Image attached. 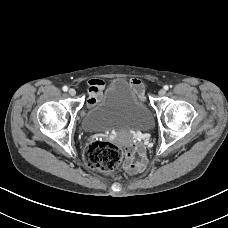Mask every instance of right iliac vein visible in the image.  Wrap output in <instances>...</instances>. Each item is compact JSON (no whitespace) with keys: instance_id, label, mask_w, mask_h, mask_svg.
<instances>
[{"instance_id":"1","label":"right iliac vein","mask_w":228,"mask_h":228,"mask_svg":"<svg viewBox=\"0 0 228 228\" xmlns=\"http://www.w3.org/2000/svg\"><path fill=\"white\" fill-rule=\"evenodd\" d=\"M68 93H69V95H71V96H75V95H76V91H75V89H73V88L69 89Z\"/></svg>"}]
</instances>
